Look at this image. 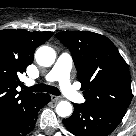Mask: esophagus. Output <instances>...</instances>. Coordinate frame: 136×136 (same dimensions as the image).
Instances as JSON below:
<instances>
[{
  "label": "esophagus",
  "instance_id": "1",
  "mask_svg": "<svg viewBox=\"0 0 136 136\" xmlns=\"http://www.w3.org/2000/svg\"><path fill=\"white\" fill-rule=\"evenodd\" d=\"M62 98L60 96H56V95H51V100L52 101H60Z\"/></svg>",
  "mask_w": 136,
  "mask_h": 136
}]
</instances>
